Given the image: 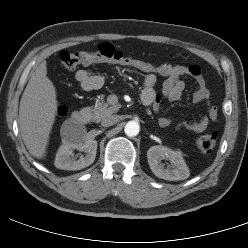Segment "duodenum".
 Masks as SVG:
<instances>
[{
	"mask_svg": "<svg viewBox=\"0 0 248 248\" xmlns=\"http://www.w3.org/2000/svg\"><path fill=\"white\" fill-rule=\"evenodd\" d=\"M90 114L86 111H76L73 116L72 120L78 125H85L90 121Z\"/></svg>",
	"mask_w": 248,
	"mask_h": 248,
	"instance_id": "duodenum-1",
	"label": "duodenum"
}]
</instances>
